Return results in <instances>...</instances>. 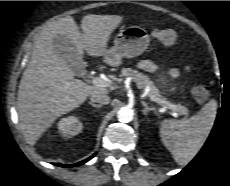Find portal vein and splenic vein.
Returning a JSON list of instances; mask_svg holds the SVG:
<instances>
[{"mask_svg": "<svg viewBox=\"0 0 230 186\" xmlns=\"http://www.w3.org/2000/svg\"><path fill=\"white\" fill-rule=\"evenodd\" d=\"M92 83L97 87H109L110 83L104 79H101L99 77L92 78ZM150 99L158 104L165 105L168 109L172 110L173 112H176V106L174 104L168 103L166 101L160 100L154 96L148 95Z\"/></svg>", "mask_w": 230, "mask_h": 186, "instance_id": "obj_1", "label": "portal vein and splenic vein"}]
</instances>
